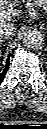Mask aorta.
Masks as SVG:
<instances>
[{
	"mask_svg": "<svg viewBox=\"0 0 47 129\" xmlns=\"http://www.w3.org/2000/svg\"><path fill=\"white\" fill-rule=\"evenodd\" d=\"M22 41L24 45L28 48H37L43 44L44 37L39 30L28 29L24 31Z\"/></svg>",
	"mask_w": 47,
	"mask_h": 129,
	"instance_id": "1",
	"label": "aorta"
}]
</instances>
